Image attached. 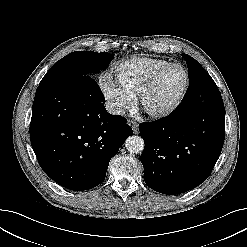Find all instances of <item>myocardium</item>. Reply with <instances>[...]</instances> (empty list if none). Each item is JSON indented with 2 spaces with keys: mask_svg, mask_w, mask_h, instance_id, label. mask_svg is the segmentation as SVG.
Returning a JSON list of instances; mask_svg holds the SVG:
<instances>
[{
  "mask_svg": "<svg viewBox=\"0 0 247 247\" xmlns=\"http://www.w3.org/2000/svg\"><path fill=\"white\" fill-rule=\"evenodd\" d=\"M174 67L180 68L183 71L184 76H185L184 86H183L181 92L174 99V101L171 104H169L168 106H166L162 109H158V110L148 109L144 104V101H145L147 94L154 87V85L158 81L159 77L164 72H166L168 69L174 68ZM189 84H190V79H189V73H188L187 69L179 63H169V64L157 69L155 72H153V74L139 88V90L135 96L136 104H137L138 108L140 109V111H142L145 115H147L151 118H156V119L164 118V117L170 115L171 113H173L180 106V104L182 103V101L184 100V98L187 94V91L189 89Z\"/></svg>",
  "mask_w": 247,
  "mask_h": 247,
  "instance_id": "obj_1",
  "label": "myocardium"
}]
</instances>
